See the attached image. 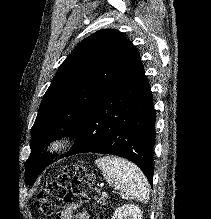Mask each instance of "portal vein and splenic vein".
Here are the masks:
<instances>
[{"mask_svg": "<svg viewBox=\"0 0 211 219\" xmlns=\"http://www.w3.org/2000/svg\"><path fill=\"white\" fill-rule=\"evenodd\" d=\"M103 195H104V196H107V194H106L105 192H103Z\"/></svg>", "mask_w": 211, "mask_h": 219, "instance_id": "portal-vein-and-splenic-vein-1", "label": "portal vein and splenic vein"}]
</instances>
